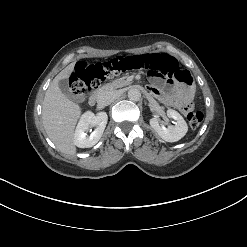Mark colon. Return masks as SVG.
<instances>
[{
  "label": "colon",
  "mask_w": 247,
  "mask_h": 247,
  "mask_svg": "<svg viewBox=\"0 0 247 247\" xmlns=\"http://www.w3.org/2000/svg\"><path fill=\"white\" fill-rule=\"evenodd\" d=\"M133 70L158 72L177 82L192 85L190 73L181 69L174 57L165 53H154L120 57L106 62H79L70 78V87L74 95L80 96L97 88L108 77ZM187 119L189 126L197 129L203 120V113L190 111Z\"/></svg>",
  "instance_id": "5ec220e1"
}]
</instances>
